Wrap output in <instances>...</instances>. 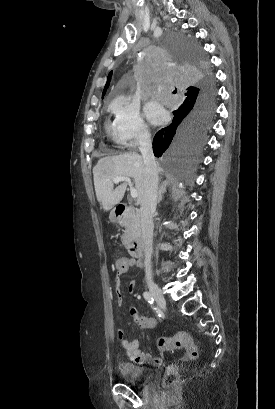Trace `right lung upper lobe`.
Here are the masks:
<instances>
[{
    "instance_id": "obj_1",
    "label": "right lung upper lobe",
    "mask_w": 275,
    "mask_h": 409,
    "mask_svg": "<svg viewBox=\"0 0 275 409\" xmlns=\"http://www.w3.org/2000/svg\"><path fill=\"white\" fill-rule=\"evenodd\" d=\"M111 76H112V71L109 73V75H108V77H107V82H106V85H105L104 90H103L102 98H103V96L105 95L106 90H107V88H108V86H109V84H110ZM195 89H196L195 86H189L188 88H186V93H185L186 99H185V101L188 100V98L193 94V92L195 91ZM185 101H184V102H185Z\"/></svg>"
}]
</instances>
